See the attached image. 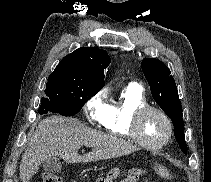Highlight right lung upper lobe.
<instances>
[{"instance_id": "1", "label": "right lung upper lobe", "mask_w": 211, "mask_h": 182, "mask_svg": "<svg viewBox=\"0 0 211 182\" xmlns=\"http://www.w3.org/2000/svg\"><path fill=\"white\" fill-rule=\"evenodd\" d=\"M111 59L107 52L94 47H81L65 56L51 74L67 75L77 81L104 87V69Z\"/></svg>"}]
</instances>
